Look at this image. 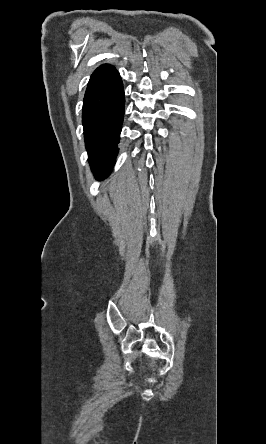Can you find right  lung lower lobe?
Returning a JSON list of instances; mask_svg holds the SVG:
<instances>
[{"label": "right lung lower lobe", "mask_w": 266, "mask_h": 444, "mask_svg": "<svg viewBox=\"0 0 266 444\" xmlns=\"http://www.w3.org/2000/svg\"><path fill=\"white\" fill-rule=\"evenodd\" d=\"M124 104L118 71L112 65H101L90 77L82 112L88 160L97 179L105 178L115 164Z\"/></svg>", "instance_id": "98d812e1"}]
</instances>
